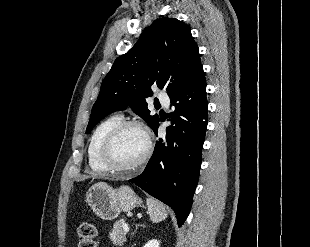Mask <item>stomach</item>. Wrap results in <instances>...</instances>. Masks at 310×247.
<instances>
[{
    "label": "stomach",
    "mask_w": 310,
    "mask_h": 247,
    "mask_svg": "<svg viewBox=\"0 0 310 247\" xmlns=\"http://www.w3.org/2000/svg\"><path fill=\"white\" fill-rule=\"evenodd\" d=\"M86 203L103 220H114L123 212L142 205V200L129 186L114 189L105 182L93 184L86 192Z\"/></svg>",
    "instance_id": "obj_1"
}]
</instances>
